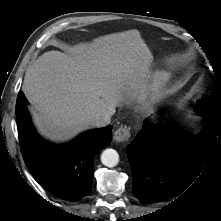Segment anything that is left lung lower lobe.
<instances>
[{
    "label": "left lung lower lobe",
    "instance_id": "0a47b994",
    "mask_svg": "<svg viewBox=\"0 0 221 221\" xmlns=\"http://www.w3.org/2000/svg\"><path fill=\"white\" fill-rule=\"evenodd\" d=\"M202 116L201 133L180 154H173L156 129L147 123L128 145L132 190L141 201L156 203L173 197L200 177L216 145L221 144V116Z\"/></svg>",
    "mask_w": 221,
    "mask_h": 221
}]
</instances>
